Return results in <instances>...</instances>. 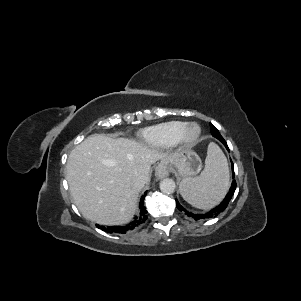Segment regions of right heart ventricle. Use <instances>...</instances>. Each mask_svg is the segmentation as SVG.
<instances>
[{
  "label": "right heart ventricle",
  "instance_id": "obj_1",
  "mask_svg": "<svg viewBox=\"0 0 301 301\" xmlns=\"http://www.w3.org/2000/svg\"><path fill=\"white\" fill-rule=\"evenodd\" d=\"M188 123L184 121H169L143 129L140 139L153 147H168L174 145Z\"/></svg>",
  "mask_w": 301,
  "mask_h": 301
}]
</instances>
